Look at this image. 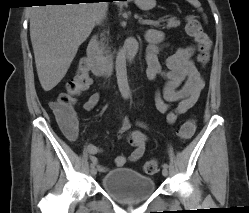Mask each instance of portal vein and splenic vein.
<instances>
[{
    "label": "portal vein and splenic vein",
    "instance_id": "1",
    "mask_svg": "<svg viewBox=\"0 0 249 213\" xmlns=\"http://www.w3.org/2000/svg\"><path fill=\"white\" fill-rule=\"evenodd\" d=\"M142 24H148V25H153L155 21L150 20V19H145L141 21Z\"/></svg>",
    "mask_w": 249,
    "mask_h": 213
}]
</instances>
